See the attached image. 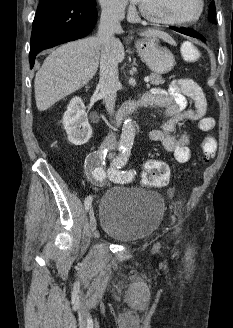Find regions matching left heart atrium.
Wrapping results in <instances>:
<instances>
[{"label":"left heart atrium","instance_id":"left-heart-atrium-1","mask_svg":"<svg viewBox=\"0 0 233 328\" xmlns=\"http://www.w3.org/2000/svg\"><path fill=\"white\" fill-rule=\"evenodd\" d=\"M142 0H133L135 3H140Z\"/></svg>","mask_w":233,"mask_h":328}]
</instances>
